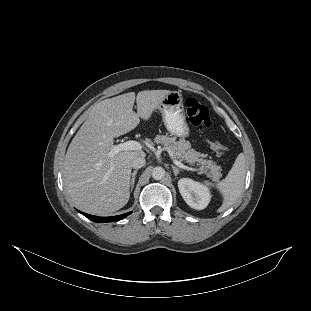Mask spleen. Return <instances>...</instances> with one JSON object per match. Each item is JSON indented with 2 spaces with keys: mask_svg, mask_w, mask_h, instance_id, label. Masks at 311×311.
I'll return each mask as SVG.
<instances>
[{
  "mask_svg": "<svg viewBox=\"0 0 311 311\" xmlns=\"http://www.w3.org/2000/svg\"><path fill=\"white\" fill-rule=\"evenodd\" d=\"M246 176V159L243 153L236 158L233 167L226 178L217 183V188L224 197L222 206L218 212H222L233 205L243 192ZM207 186H214L213 183L205 181Z\"/></svg>",
  "mask_w": 311,
  "mask_h": 311,
  "instance_id": "1",
  "label": "spleen"
}]
</instances>
